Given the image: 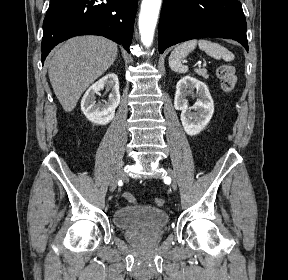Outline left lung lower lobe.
<instances>
[{
    "mask_svg": "<svg viewBox=\"0 0 288 280\" xmlns=\"http://www.w3.org/2000/svg\"><path fill=\"white\" fill-rule=\"evenodd\" d=\"M246 30L239 0H164L158 30L159 52L200 37L234 39L248 50Z\"/></svg>",
    "mask_w": 288,
    "mask_h": 280,
    "instance_id": "obj_1",
    "label": "left lung lower lobe"
}]
</instances>
